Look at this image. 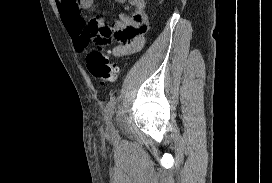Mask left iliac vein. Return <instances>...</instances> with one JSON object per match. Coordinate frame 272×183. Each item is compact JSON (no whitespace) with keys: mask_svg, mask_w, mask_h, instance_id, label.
Returning a JSON list of instances; mask_svg holds the SVG:
<instances>
[{"mask_svg":"<svg viewBox=\"0 0 272 183\" xmlns=\"http://www.w3.org/2000/svg\"><path fill=\"white\" fill-rule=\"evenodd\" d=\"M110 129L113 130V126H110Z\"/></svg>","mask_w":272,"mask_h":183,"instance_id":"1","label":"left iliac vein"}]
</instances>
